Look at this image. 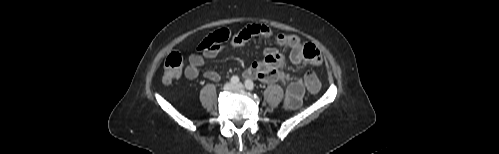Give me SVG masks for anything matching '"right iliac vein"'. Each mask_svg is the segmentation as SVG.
I'll return each instance as SVG.
<instances>
[{"instance_id": "right-iliac-vein-1", "label": "right iliac vein", "mask_w": 499, "mask_h": 154, "mask_svg": "<svg viewBox=\"0 0 499 154\" xmlns=\"http://www.w3.org/2000/svg\"><path fill=\"white\" fill-rule=\"evenodd\" d=\"M234 88H235V86H234V84H232V83H227V84H225V85H224V90H225V91H231V90H233Z\"/></svg>"}]
</instances>
